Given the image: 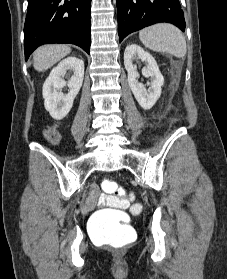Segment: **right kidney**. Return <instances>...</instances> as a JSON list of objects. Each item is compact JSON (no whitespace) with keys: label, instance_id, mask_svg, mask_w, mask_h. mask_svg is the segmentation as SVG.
Listing matches in <instances>:
<instances>
[{"label":"right kidney","instance_id":"ca27d5eb","mask_svg":"<svg viewBox=\"0 0 227 279\" xmlns=\"http://www.w3.org/2000/svg\"><path fill=\"white\" fill-rule=\"evenodd\" d=\"M72 70L74 74L65 81L63 76ZM84 78V61L77 57H67L52 69L49 77L43 84L44 106L50 115L56 119H63L71 110L73 101L78 94ZM68 85L69 92L66 95L60 91Z\"/></svg>","mask_w":227,"mask_h":279}]
</instances>
